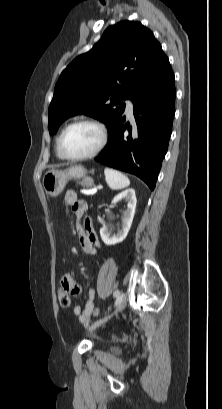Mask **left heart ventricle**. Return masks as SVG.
<instances>
[{"label":"left heart ventricle","mask_w":222,"mask_h":409,"mask_svg":"<svg viewBox=\"0 0 222 409\" xmlns=\"http://www.w3.org/2000/svg\"><path fill=\"white\" fill-rule=\"evenodd\" d=\"M100 142V132L92 125L82 124L71 128L63 141L64 151L70 156L92 152Z\"/></svg>","instance_id":"1"}]
</instances>
